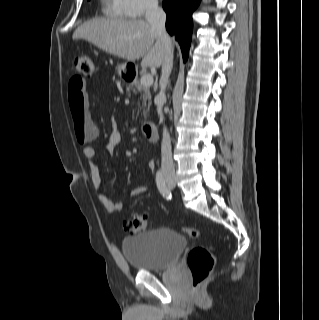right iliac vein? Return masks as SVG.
Wrapping results in <instances>:
<instances>
[{
    "label": "right iliac vein",
    "mask_w": 319,
    "mask_h": 320,
    "mask_svg": "<svg viewBox=\"0 0 319 320\" xmlns=\"http://www.w3.org/2000/svg\"><path fill=\"white\" fill-rule=\"evenodd\" d=\"M166 181L169 185H174L176 183L174 178H167Z\"/></svg>",
    "instance_id": "right-iliac-vein-1"
}]
</instances>
